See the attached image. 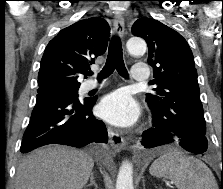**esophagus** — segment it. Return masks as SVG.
<instances>
[{
  "instance_id": "1",
  "label": "esophagus",
  "mask_w": 223,
  "mask_h": 189,
  "mask_svg": "<svg viewBox=\"0 0 223 189\" xmlns=\"http://www.w3.org/2000/svg\"><path fill=\"white\" fill-rule=\"evenodd\" d=\"M113 30L119 36L123 37L124 35V19L121 15H116L113 21ZM109 142L111 147L115 151H122L126 147V140L111 127L108 128Z\"/></svg>"
}]
</instances>
